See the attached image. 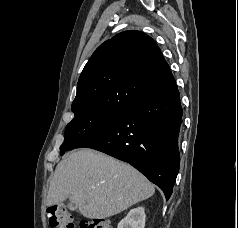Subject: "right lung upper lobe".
Listing matches in <instances>:
<instances>
[{"label":"right lung upper lobe","mask_w":238,"mask_h":228,"mask_svg":"<svg viewBox=\"0 0 238 228\" xmlns=\"http://www.w3.org/2000/svg\"><path fill=\"white\" fill-rule=\"evenodd\" d=\"M176 81L155 41L130 30L101 44L85 65L72 111L91 107H130L159 94Z\"/></svg>","instance_id":"1"}]
</instances>
